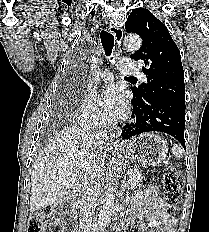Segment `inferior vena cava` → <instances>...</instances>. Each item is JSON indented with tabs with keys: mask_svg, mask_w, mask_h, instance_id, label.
I'll return each instance as SVG.
<instances>
[{
	"mask_svg": "<svg viewBox=\"0 0 209 232\" xmlns=\"http://www.w3.org/2000/svg\"><path fill=\"white\" fill-rule=\"evenodd\" d=\"M95 138L102 141V139L107 138V133L105 131L98 132L95 135ZM101 173L102 171L99 167H94L84 181L83 192L79 198V232H92V228L94 226L93 206L99 195Z\"/></svg>",
	"mask_w": 209,
	"mask_h": 232,
	"instance_id": "1",
	"label": "inferior vena cava"
}]
</instances>
